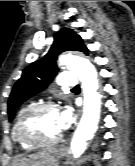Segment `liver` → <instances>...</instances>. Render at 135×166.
<instances>
[{
  "label": "liver",
  "instance_id": "liver-1",
  "mask_svg": "<svg viewBox=\"0 0 135 166\" xmlns=\"http://www.w3.org/2000/svg\"><path fill=\"white\" fill-rule=\"evenodd\" d=\"M44 151H41V152H38V153H35V154H31L27 157H23V158H20V159H17L14 163H13V166H28L31 164V160L34 159L35 157L43 154Z\"/></svg>",
  "mask_w": 135,
  "mask_h": 166
}]
</instances>
